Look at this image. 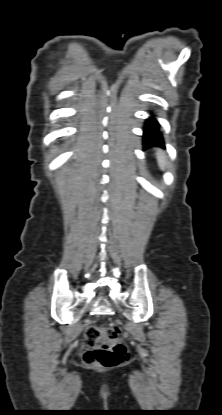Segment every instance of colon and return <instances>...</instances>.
<instances>
[{
    "mask_svg": "<svg viewBox=\"0 0 222 415\" xmlns=\"http://www.w3.org/2000/svg\"><path fill=\"white\" fill-rule=\"evenodd\" d=\"M119 334V328L113 324L87 327L84 340L88 349L83 356L84 363L103 368H114L123 364L128 351L127 347L118 341Z\"/></svg>",
    "mask_w": 222,
    "mask_h": 415,
    "instance_id": "colon-1",
    "label": "colon"
}]
</instances>
